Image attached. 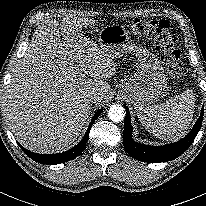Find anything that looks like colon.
<instances>
[{"instance_id": "1", "label": "colon", "mask_w": 206, "mask_h": 206, "mask_svg": "<svg viewBox=\"0 0 206 206\" xmlns=\"http://www.w3.org/2000/svg\"><path fill=\"white\" fill-rule=\"evenodd\" d=\"M130 31L134 36H148L155 41L160 60L171 76L180 77L183 74L181 51L174 42L168 21L136 19Z\"/></svg>"}]
</instances>
